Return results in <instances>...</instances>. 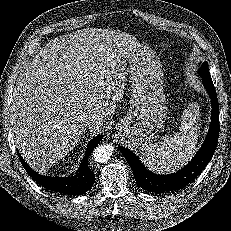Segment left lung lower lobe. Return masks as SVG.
Masks as SVG:
<instances>
[{
	"instance_id": "1",
	"label": "left lung lower lobe",
	"mask_w": 231,
	"mask_h": 231,
	"mask_svg": "<svg viewBox=\"0 0 231 231\" xmlns=\"http://www.w3.org/2000/svg\"><path fill=\"white\" fill-rule=\"evenodd\" d=\"M202 83L212 103L210 129L204 144L196 156L182 170L167 175L154 174L143 166L134 153L125 147L119 146L120 152L132 168L137 184L142 189L153 193L180 190L197 178L211 160L219 137V104L212 79L202 78Z\"/></svg>"
}]
</instances>
